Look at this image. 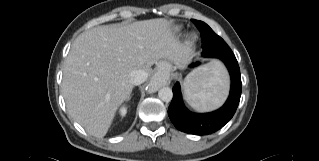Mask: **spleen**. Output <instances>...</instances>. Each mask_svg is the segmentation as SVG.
Wrapping results in <instances>:
<instances>
[{
    "label": "spleen",
    "mask_w": 319,
    "mask_h": 161,
    "mask_svg": "<svg viewBox=\"0 0 319 161\" xmlns=\"http://www.w3.org/2000/svg\"><path fill=\"white\" fill-rule=\"evenodd\" d=\"M188 104L199 111L219 107L228 89V76L219 62L208 64L203 70L189 74L183 83Z\"/></svg>",
    "instance_id": "obj_1"
}]
</instances>
